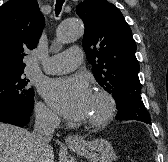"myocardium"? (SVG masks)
<instances>
[{"label": "myocardium", "instance_id": "f54148a6", "mask_svg": "<svg viewBox=\"0 0 168 162\" xmlns=\"http://www.w3.org/2000/svg\"><path fill=\"white\" fill-rule=\"evenodd\" d=\"M94 97L102 101L104 108L99 116L86 121L85 125L90 128H100L109 123L113 118L116 111V103L114 98L104 90H97L94 93Z\"/></svg>", "mask_w": 168, "mask_h": 162}]
</instances>
